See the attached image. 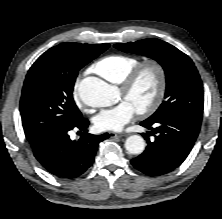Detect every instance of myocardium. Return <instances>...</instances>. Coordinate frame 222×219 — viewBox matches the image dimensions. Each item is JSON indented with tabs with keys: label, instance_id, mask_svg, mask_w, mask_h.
Masks as SVG:
<instances>
[{
	"label": "myocardium",
	"instance_id": "1",
	"mask_svg": "<svg viewBox=\"0 0 222 219\" xmlns=\"http://www.w3.org/2000/svg\"><path fill=\"white\" fill-rule=\"evenodd\" d=\"M150 69L156 77V89L151 101L144 107L137 108L136 112L141 116H149L161 105L167 86V73L163 64L154 59H148L134 66L120 83L124 96L128 95L134 87L140 75Z\"/></svg>",
	"mask_w": 222,
	"mask_h": 219
}]
</instances>
